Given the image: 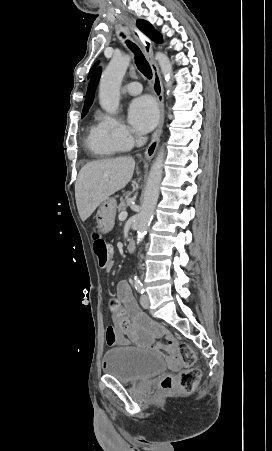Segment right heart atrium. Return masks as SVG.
Listing matches in <instances>:
<instances>
[{
    "mask_svg": "<svg viewBox=\"0 0 272 451\" xmlns=\"http://www.w3.org/2000/svg\"><path fill=\"white\" fill-rule=\"evenodd\" d=\"M102 129L119 146L125 147L129 144L131 135L128 128L119 119L106 115L102 117Z\"/></svg>",
    "mask_w": 272,
    "mask_h": 451,
    "instance_id": "d8ad5b80",
    "label": "right heart atrium"
}]
</instances>
